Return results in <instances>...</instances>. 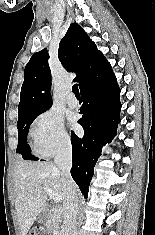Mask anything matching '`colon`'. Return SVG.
I'll use <instances>...</instances> for the list:
<instances>
[{
    "mask_svg": "<svg viewBox=\"0 0 155 235\" xmlns=\"http://www.w3.org/2000/svg\"><path fill=\"white\" fill-rule=\"evenodd\" d=\"M28 235H46V234L42 231H32Z\"/></svg>",
    "mask_w": 155,
    "mask_h": 235,
    "instance_id": "1",
    "label": "colon"
}]
</instances>
